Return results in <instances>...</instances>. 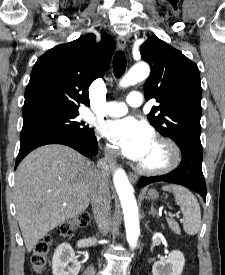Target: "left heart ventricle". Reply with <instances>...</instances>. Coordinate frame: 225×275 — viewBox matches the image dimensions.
<instances>
[{
	"label": "left heart ventricle",
	"instance_id": "b2bd125f",
	"mask_svg": "<svg viewBox=\"0 0 225 275\" xmlns=\"http://www.w3.org/2000/svg\"><path fill=\"white\" fill-rule=\"evenodd\" d=\"M166 161V150L158 142L153 141L150 145L145 156L139 162L141 165L146 167H159L163 165Z\"/></svg>",
	"mask_w": 225,
	"mask_h": 275
}]
</instances>
